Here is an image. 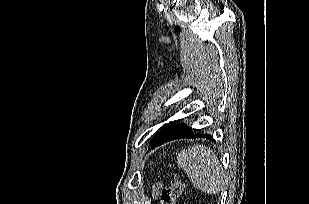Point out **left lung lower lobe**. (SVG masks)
Listing matches in <instances>:
<instances>
[{
  "instance_id": "0a47b994",
  "label": "left lung lower lobe",
  "mask_w": 309,
  "mask_h": 204,
  "mask_svg": "<svg viewBox=\"0 0 309 204\" xmlns=\"http://www.w3.org/2000/svg\"><path fill=\"white\" fill-rule=\"evenodd\" d=\"M198 138L204 137L212 140L211 135H197L194 134L185 124H172L161 130L150 142V145L154 148L168 141L180 138Z\"/></svg>"
}]
</instances>
